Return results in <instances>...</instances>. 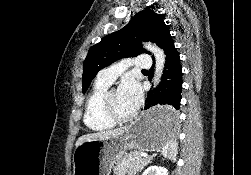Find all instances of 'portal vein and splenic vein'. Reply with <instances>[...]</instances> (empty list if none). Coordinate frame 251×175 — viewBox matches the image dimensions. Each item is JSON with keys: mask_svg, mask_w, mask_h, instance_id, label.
I'll list each match as a JSON object with an SVG mask.
<instances>
[{"mask_svg": "<svg viewBox=\"0 0 251 175\" xmlns=\"http://www.w3.org/2000/svg\"><path fill=\"white\" fill-rule=\"evenodd\" d=\"M141 155H143V157H147V153H141Z\"/></svg>", "mask_w": 251, "mask_h": 175, "instance_id": "18ae733b", "label": "portal vein and splenic vein"}]
</instances>
